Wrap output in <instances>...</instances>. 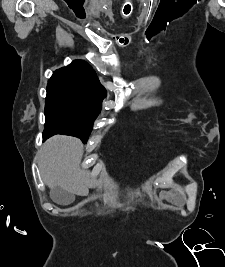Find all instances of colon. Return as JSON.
Masks as SVG:
<instances>
[{
    "mask_svg": "<svg viewBox=\"0 0 225 267\" xmlns=\"http://www.w3.org/2000/svg\"><path fill=\"white\" fill-rule=\"evenodd\" d=\"M124 7H126L125 12L128 13L126 15H129L131 12V8H132L131 4H126Z\"/></svg>",
    "mask_w": 225,
    "mask_h": 267,
    "instance_id": "1",
    "label": "colon"
}]
</instances>
